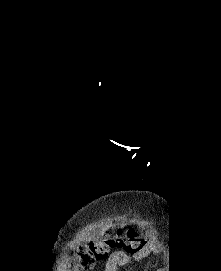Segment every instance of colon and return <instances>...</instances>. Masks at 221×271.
<instances>
[{
    "label": "colon",
    "mask_w": 221,
    "mask_h": 271,
    "mask_svg": "<svg viewBox=\"0 0 221 271\" xmlns=\"http://www.w3.org/2000/svg\"><path fill=\"white\" fill-rule=\"evenodd\" d=\"M145 238L138 232L129 229L126 232L117 230L114 236L110 234L104 239L90 241L80 248V266L87 270L96 262L103 260L112 250L122 249L127 252H137L145 245Z\"/></svg>",
    "instance_id": "colon-1"
}]
</instances>
